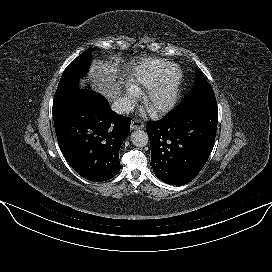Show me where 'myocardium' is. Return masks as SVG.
Returning a JSON list of instances; mask_svg holds the SVG:
<instances>
[{"label": "myocardium", "mask_w": 272, "mask_h": 272, "mask_svg": "<svg viewBox=\"0 0 272 272\" xmlns=\"http://www.w3.org/2000/svg\"><path fill=\"white\" fill-rule=\"evenodd\" d=\"M175 71V77L171 82L170 94L166 101L157 103L154 101L156 94L167 83L171 73ZM183 73L177 64H170L160 75V77L146 89L142 101L145 107L154 115H161L172 110L180 95Z\"/></svg>", "instance_id": "myocardium-1"}]
</instances>
